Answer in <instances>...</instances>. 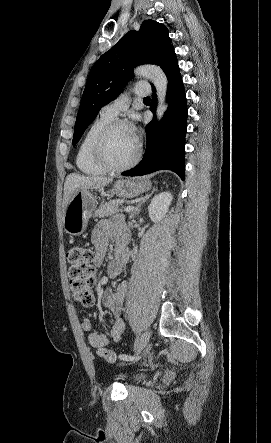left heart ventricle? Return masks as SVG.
Masks as SVG:
<instances>
[{
    "mask_svg": "<svg viewBox=\"0 0 271 443\" xmlns=\"http://www.w3.org/2000/svg\"><path fill=\"white\" fill-rule=\"evenodd\" d=\"M137 150V137L133 128L120 126L112 133L108 143V154L114 164L130 160Z\"/></svg>",
    "mask_w": 271,
    "mask_h": 443,
    "instance_id": "obj_1",
    "label": "left heart ventricle"
}]
</instances>
